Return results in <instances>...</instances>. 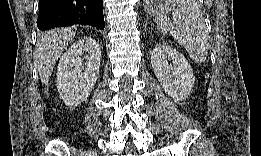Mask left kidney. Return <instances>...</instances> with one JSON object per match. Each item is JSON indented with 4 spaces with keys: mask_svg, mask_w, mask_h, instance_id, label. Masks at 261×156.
Segmentation results:
<instances>
[{
    "mask_svg": "<svg viewBox=\"0 0 261 156\" xmlns=\"http://www.w3.org/2000/svg\"><path fill=\"white\" fill-rule=\"evenodd\" d=\"M151 64L155 76L168 95L177 101L190 95L195 77L183 54L168 45H158L152 51Z\"/></svg>",
    "mask_w": 261,
    "mask_h": 156,
    "instance_id": "5707ae66",
    "label": "left kidney"
}]
</instances>
